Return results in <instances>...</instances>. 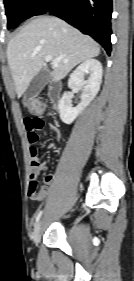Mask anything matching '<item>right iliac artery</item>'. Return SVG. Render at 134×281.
<instances>
[{"label": "right iliac artery", "instance_id": "82829eb1", "mask_svg": "<svg viewBox=\"0 0 134 281\" xmlns=\"http://www.w3.org/2000/svg\"><path fill=\"white\" fill-rule=\"evenodd\" d=\"M41 215H42V210L37 214L34 225H36L38 223Z\"/></svg>", "mask_w": 134, "mask_h": 281}]
</instances>
